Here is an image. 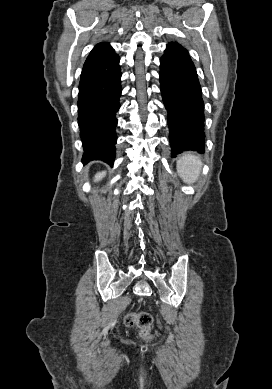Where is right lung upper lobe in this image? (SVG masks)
<instances>
[{
    "mask_svg": "<svg viewBox=\"0 0 272 389\" xmlns=\"http://www.w3.org/2000/svg\"><path fill=\"white\" fill-rule=\"evenodd\" d=\"M114 55L116 54L114 53V50L108 43L106 42L99 43L94 47V49L88 55L83 65V68L104 61L108 58L113 57Z\"/></svg>",
    "mask_w": 272,
    "mask_h": 389,
    "instance_id": "1",
    "label": "right lung upper lobe"
}]
</instances>
